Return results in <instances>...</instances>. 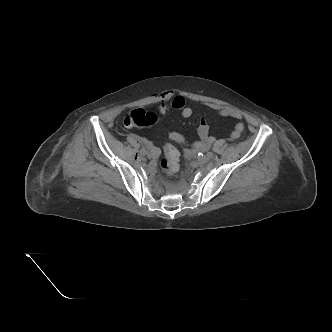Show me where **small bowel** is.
Listing matches in <instances>:
<instances>
[{"instance_id":"1","label":"small bowel","mask_w":332,"mask_h":332,"mask_svg":"<svg viewBox=\"0 0 332 332\" xmlns=\"http://www.w3.org/2000/svg\"><path fill=\"white\" fill-rule=\"evenodd\" d=\"M204 105L215 111L219 116L225 117V118H233V119H242L243 114L241 111L230 108V107H225V106H220L215 103L211 102H205ZM169 109H174L178 110L181 113V116L183 118H190L193 114V110L191 107H189L186 104V100L183 96L181 95H175L171 92H166L162 96V103L159 106V111L162 114H165L168 112ZM244 130V124L239 122L235 125L233 131L231 132V138L237 139L241 136L242 132ZM198 135L200 137V140L195 142L193 144L194 149L198 150H203L209 147L212 142L214 141V138L210 135L209 133V124L205 118H201L198 126ZM169 138L171 141L180 144V145H187V141L185 137L176 131H173L169 134ZM148 143V142H147ZM149 149L151 151V156L152 157H157L158 156V149L154 147L152 144L148 143Z\"/></svg>"}]
</instances>
